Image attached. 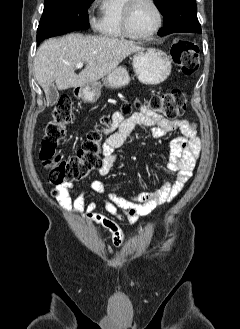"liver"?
<instances>
[{"label": "liver", "instance_id": "1", "mask_svg": "<svg viewBox=\"0 0 240 329\" xmlns=\"http://www.w3.org/2000/svg\"><path fill=\"white\" fill-rule=\"evenodd\" d=\"M143 48L133 41L73 33L60 39L51 38L37 50L34 72L38 84L49 101V86L59 90L81 87L111 73L130 54ZM85 63V69L75 73V65Z\"/></svg>", "mask_w": 240, "mask_h": 329}]
</instances>
